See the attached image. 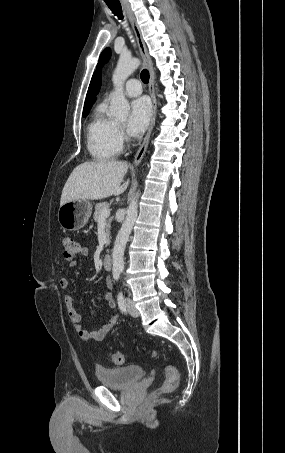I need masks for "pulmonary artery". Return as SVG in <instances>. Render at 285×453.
Wrapping results in <instances>:
<instances>
[{
	"label": "pulmonary artery",
	"mask_w": 285,
	"mask_h": 453,
	"mask_svg": "<svg viewBox=\"0 0 285 453\" xmlns=\"http://www.w3.org/2000/svg\"><path fill=\"white\" fill-rule=\"evenodd\" d=\"M124 92L127 96H138L142 92L141 83L137 79H130L125 83Z\"/></svg>",
	"instance_id": "e3ab8cb5"
}]
</instances>
